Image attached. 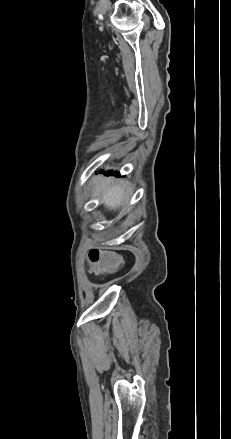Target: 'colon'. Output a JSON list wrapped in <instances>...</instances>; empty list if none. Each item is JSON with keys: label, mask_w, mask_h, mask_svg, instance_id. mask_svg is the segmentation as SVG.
<instances>
[{"label": "colon", "mask_w": 231, "mask_h": 439, "mask_svg": "<svg viewBox=\"0 0 231 439\" xmlns=\"http://www.w3.org/2000/svg\"><path fill=\"white\" fill-rule=\"evenodd\" d=\"M89 260L85 261L86 267L94 271L104 273L111 272L120 266V260L112 254L97 250L95 246L90 248Z\"/></svg>", "instance_id": "colon-1"}]
</instances>
